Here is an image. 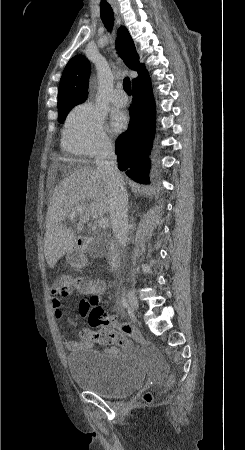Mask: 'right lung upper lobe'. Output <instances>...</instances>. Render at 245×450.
<instances>
[{
  "label": "right lung upper lobe",
  "mask_w": 245,
  "mask_h": 450,
  "mask_svg": "<svg viewBox=\"0 0 245 450\" xmlns=\"http://www.w3.org/2000/svg\"><path fill=\"white\" fill-rule=\"evenodd\" d=\"M116 44L125 64L138 72V78L144 75L147 70L144 64L139 62L133 40L125 27L119 28ZM90 71V64L84 56L76 55L69 60L60 80L58 107L67 103L80 104L87 99Z\"/></svg>",
  "instance_id": "cb5924a9"
}]
</instances>
